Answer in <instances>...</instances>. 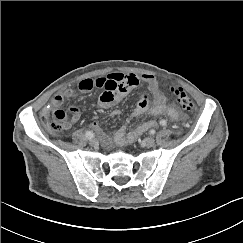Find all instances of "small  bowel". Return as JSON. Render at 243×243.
<instances>
[{
	"label": "small bowel",
	"mask_w": 243,
	"mask_h": 243,
	"mask_svg": "<svg viewBox=\"0 0 243 243\" xmlns=\"http://www.w3.org/2000/svg\"><path fill=\"white\" fill-rule=\"evenodd\" d=\"M140 84L147 85L152 102L151 104L149 103L148 96L143 95L141 97L136 108L132 112L131 117L127 120L125 125L117 130L114 135V140L118 144L134 141L142 133L155 125V122L147 121L131 131H128V125L132 119L140 117L143 114H150L153 116L164 114L173 120H178L180 113L176 108L166 103V99L161 92L158 81L151 74L124 75L121 73H111L108 76L98 77L96 79L85 78L78 83L77 90L81 93H88L94 88L102 89V93L100 94L97 102L98 108H108L119 103L134 87ZM75 94V89H65L62 93L56 95L52 99L51 103L43 109L42 114L46 115L52 110L57 111L62 106L65 98L74 97ZM69 111L71 113V117L69 121H67V128H69L72 124L77 123L81 117V110L78 106L70 105ZM113 114L119 115L120 110H114ZM91 126L104 139L105 143L109 142V139L102 131L96 118L93 119Z\"/></svg>",
	"instance_id": "1"
}]
</instances>
